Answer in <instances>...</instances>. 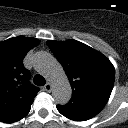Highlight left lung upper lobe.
I'll return each instance as SVG.
<instances>
[{
    "instance_id": "obj_1",
    "label": "left lung upper lobe",
    "mask_w": 128,
    "mask_h": 128,
    "mask_svg": "<svg viewBox=\"0 0 128 128\" xmlns=\"http://www.w3.org/2000/svg\"><path fill=\"white\" fill-rule=\"evenodd\" d=\"M47 45L70 81V101L105 106L115 78L112 63L100 52L75 40L48 41Z\"/></svg>"
}]
</instances>
